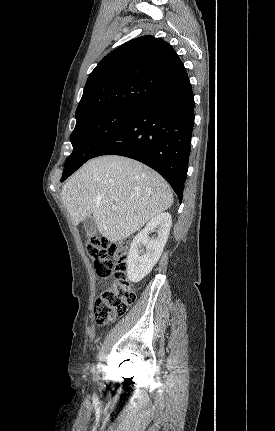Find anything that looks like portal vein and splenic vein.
<instances>
[{
    "instance_id": "obj_1",
    "label": "portal vein and splenic vein",
    "mask_w": 275,
    "mask_h": 431,
    "mask_svg": "<svg viewBox=\"0 0 275 431\" xmlns=\"http://www.w3.org/2000/svg\"><path fill=\"white\" fill-rule=\"evenodd\" d=\"M112 209H116V207H112Z\"/></svg>"
}]
</instances>
